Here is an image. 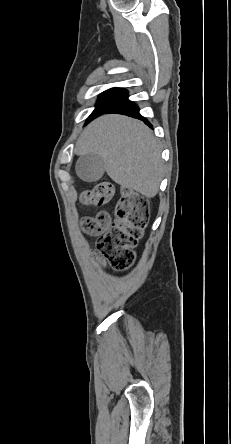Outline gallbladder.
I'll return each instance as SVG.
<instances>
[{
    "label": "gallbladder",
    "instance_id": "1",
    "mask_svg": "<svg viewBox=\"0 0 231 444\" xmlns=\"http://www.w3.org/2000/svg\"><path fill=\"white\" fill-rule=\"evenodd\" d=\"M105 172L103 159L93 153L80 156L76 163V173L84 181L95 182Z\"/></svg>",
    "mask_w": 231,
    "mask_h": 444
}]
</instances>
